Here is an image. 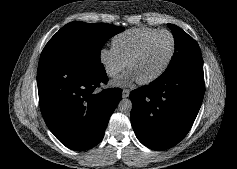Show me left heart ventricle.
<instances>
[{
	"mask_svg": "<svg viewBox=\"0 0 237 169\" xmlns=\"http://www.w3.org/2000/svg\"><path fill=\"white\" fill-rule=\"evenodd\" d=\"M171 47L172 42L169 35L156 36L147 45L141 56L132 62L130 71L137 80L151 76L164 65L171 52Z\"/></svg>",
	"mask_w": 237,
	"mask_h": 169,
	"instance_id": "left-heart-ventricle-1",
	"label": "left heart ventricle"
}]
</instances>
